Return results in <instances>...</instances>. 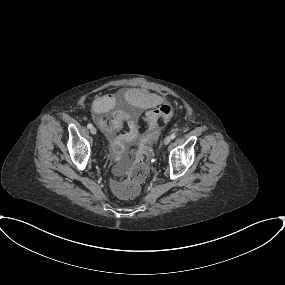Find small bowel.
Here are the masks:
<instances>
[{"instance_id":"c3829d8e","label":"small bowel","mask_w":285,"mask_h":285,"mask_svg":"<svg viewBox=\"0 0 285 285\" xmlns=\"http://www.w3.org/2000/svg\"><path fill=\"white\" fill-rule=\"evenodd\" d=\"M135 102L142 110L154 111L157 120L169 122L174 117V109L165 102L164 98L141 90H134ZM94 121L105 134L109 149L115 162L125 156L127 147L138 142L137 117L117 107V98L114 95H105L99 98L94 105ZM126 124L127 131L121 133ZM137 155V152L135 153Z\"/></svg>"}]
</instances>
